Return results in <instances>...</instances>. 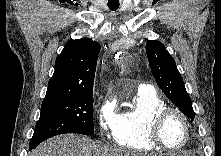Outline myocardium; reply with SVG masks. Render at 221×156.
Wrapping results in <instances>:
<instances>
[{"label": "myocardium", "instance_id": "obj_1", "mask_svg": "<svg viewBox=\"0 0 221 156\" xmlns=\"http://www.w3.org/2000/svg\"><path fill=\"white\" fill-rule=\"evenodd\" d=\"M170 114H176L177 116H179L181 118V120L183 121V123L185 125V129H186V136H185L183 143L180 146L175 147V148L167 146L161 137L162 126H163L166 118ZM149 138H150L151 142L155 146H157L159 149H162V150H165L168 152H178V151L184 149L190 141V138H191L190 121L187 118V116L178 108L166 106V107L162 108L161 110H159L158 112H156L155 115L153 116V118L150 122V127H149Z\"/></svg>", "mask_w": 221, "mask_h": 156}]
</instances>
